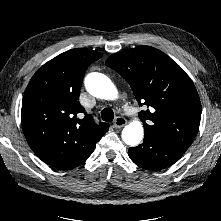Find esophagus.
I'll list each match as a JSON object with an SVG mask.
<instances>
[{"mask_svg":"<svg viewBox=\"0 0 221 221\" xmlns=\"http://www.w3.org/2000/svg\"><path fill=\"white\" fill-rule=\"evenodd\" d=\"M126 123H127V121L124 117L118 116V117H116V119L114 121V127L119 129V128H122L123 126H125Z\"/></svg>","mask_w":221,"mask_h":221,"instance_id":"1","label":"esophagus"}]
</instances>
